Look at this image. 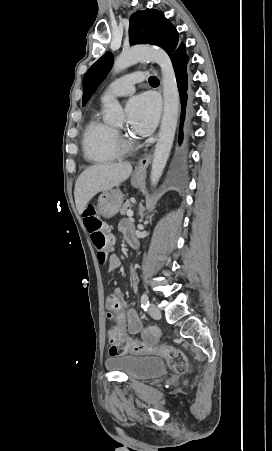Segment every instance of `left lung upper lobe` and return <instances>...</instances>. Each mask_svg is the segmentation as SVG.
Returning <instances> with one entry per match:
<instances>
[{
    "instance_id": "left-lung-upper-lobe-1",
    "label": "left lung upper lobe",
    "mask_w": 272,
    "mask_h": 451,
    "mask_svg": "<svg viewBox=\"0 0 272 451\" xmlns=\"http://www.w3.org/2000/svg\"><path fill=\"white\" fill-rule=\"evenodd\" d=\"M129 42L131 45H157L164 49L170 57L180 43L176 28L161 11L155 9L137 11L131 15ZM112 64L113 55L107 52L89 68L83 79V106L95 92Z\"/></svg>"
}]
</instances>
